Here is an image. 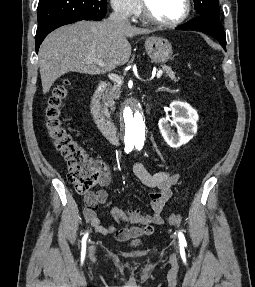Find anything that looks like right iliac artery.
Masks as SVG:
<instances>
[{"label":"right iliac artery","instance_id":"1","mask_svg":"<svg viewBox=\"0 0 255 287\" xmlns=\"http://www.w3.org/2000/svg\"><path fill=\"white\" fill-rule=\"evenodd\" d=\"M132 149H126V153H129ZM88 234H86L82 239V249L85 251L86 248V240H87Z\"/></svg>","mask_w":255,"mask_h":287}]
</instances>
